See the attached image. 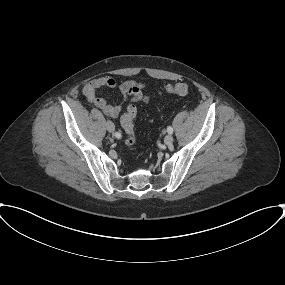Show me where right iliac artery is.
Instances as JSON below:
<instances>
[{
	"label": "right iliac artery",
	"mask_w": 285,
	"mask_h": 285,
	"mask_svg": "<svg viewBox=\"0 0 285 285\" xmlns=\"http://www.w3.org/2000/svg\"><path fill=\"white\" fill-rule=\"evenodd\" d=\"M115 136H116L117 138H121V133L116 132V133H115Z\"/></svg>",
	"instance_id": "right-iliac-artery-1"
}]
</instances>
